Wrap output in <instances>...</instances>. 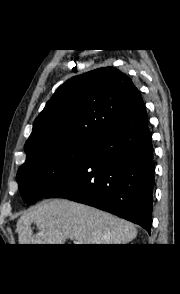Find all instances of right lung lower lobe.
I'll use <instances>...</instances> for the list:
<instances>
[{
	"mask_svg": "<svg viewBox=\"0 0 180 294\" xmlns=\"http://www.w3.org/2000/svg\"><path fill=\"white\" fill-rule=\"evenodd\" d=\"M144 103L102 135L81 166L46 198H66L152 224L154 162Z\"/></svg>",
	"mask_w": 180,
	"mask_h": 294,
	"instance_id": "right-lung-lower-lobe-1",
	"label": "right lung lower lobe"
}]
</instances>
